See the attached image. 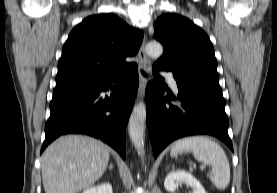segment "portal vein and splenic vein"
<instances>
[{"instance_id":"1","label":"portal vein and splenic vein","mask_w":277,"mask_h":193,"mask_svg":"<svg viewBox=\"0 0 277 193\" xmlns=\"http://www.w3.org/2000/svg\"><path fill=\"white\" fill-rule=\"evenodd\" d=\"M200 169H201V170L206 169V165H205V164H204V165H201V166H200Z\"/></svg>"}]
</instances>
